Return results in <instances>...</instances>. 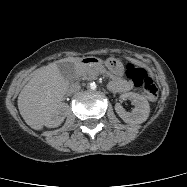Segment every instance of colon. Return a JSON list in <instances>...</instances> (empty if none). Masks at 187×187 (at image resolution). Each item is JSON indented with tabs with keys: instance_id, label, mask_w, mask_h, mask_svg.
Here are the masks:
<instances>
[{
	"instance_id": "1",
	"label": "colon",
	"mask_w": 187,
	"mask_h": 187,
	"mask_svg": "<svg viewBox=\"0 0 187 187\" xmlns=\"http://www.w3.org/2000/svg\"><path fill=\"white\" fill-rule=\"evenodd\" d=\"M126 74L139 91L149 100L153 101L157 98V86L142 67L128 63L126 66Z\"/></svg>"
}]
</instances>
